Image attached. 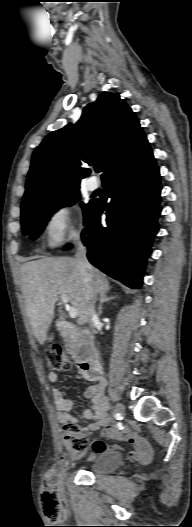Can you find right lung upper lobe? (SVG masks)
I'll return each mask as SVG.
<instances>
[{"mask_svg":"<svg viewBox=\"0 0 192 527\" xmlns=\"http://www.w3.org/2000/svg\"><path fill=\"white\" fill-rule=\"evenodd\" d=\"M147 141L139 120L118 93H103L75 124L48 134L32 155L22 206L79 188L86 164L102 165V180Z\"/></svg>","mask_w":192,"mask_h":527,"instance_id":"cb5924a9","label":"right lung upper lobe"}]
</instances>
